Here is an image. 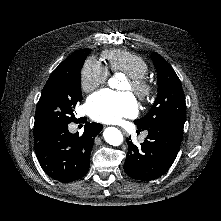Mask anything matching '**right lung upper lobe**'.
<instances>
[{
  "label": "right lung upper lobe",
  "mask_w": 221,
  "mask_h": 221,
  "mask_svg": "<svg viewBox=\"0 0 221 221\" xmlns=\"http://www.w3.org/2000/svg\"><path fill=\"white\" fill-rule=\"evenodd\" d=\"M71 56H72V55H70L67 59H65L64 62H66L67 60H69Z\"/></svg>",
  "instance_id": "cb5924a9"
}]
</instances>
